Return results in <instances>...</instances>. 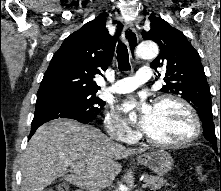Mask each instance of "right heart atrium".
I'll return each mask as SVG.
<instances>
[{
	"instance_id": "1",
	"label": "right heart atrium",
	"mask_w": 221,
	"mask_h": 191,
	"mask_svg": "<svg viewBox=\"0 0 221 191\" xmlns=\"http://www.w3.org/2000/svg\"><path fill=\"white\" fill-rule=\"evenodd\" d=\"M104 125L107 133L118 141L132 143L137 139V133L126 126L113 111L105 114Z\"/></svg>"
}]
</instances>
